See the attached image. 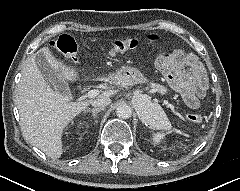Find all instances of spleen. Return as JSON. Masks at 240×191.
Instances as JSON below:
<instances>
[{"label": "spleen", "mask_w": 240, "mask_h": 191, "mask_svg": "<svg viewBox=\"0 0 240 191\" xmlns=\"http://www.w3.org/2000/svg\"><path fill=\"white\" fill-rule=\"evenodd\" d=\"M144 98L148 101L145 112L141 115V119L145 125L152 129L169 131L171 129V123L162 108L150 102L149 98Z\"/></svg>", "instance_id": "1"}]
</instances>
